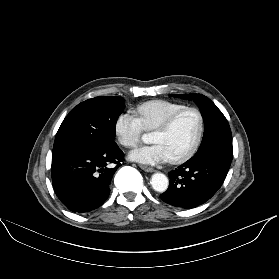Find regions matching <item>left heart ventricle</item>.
<instances>
[{"label":"left heart ventricle","mask_w":279,"mask_h":279,"mask_svg":"<svg viewBox=\"0 0 279 279\" xmlns=\"http://www.w3.org/2000/svg\"><path fill=\"white\" fill-rule=\"evenodd\" d=\"M198 128V119L195 113H182L164 133L153 132L151 141L160 143L168 152L170 158L184 153L192 144Z\"/></svg>","instance_id":"b2bd125f"}]
</instances>
